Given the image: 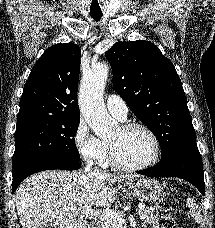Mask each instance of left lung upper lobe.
I'll use <instances>...</instances> for the list:
<instances>
[{
	"label": "left lung upper lobe",
	"instance_id": "5c2ea615",
	"mask_svg": "<svg viewBox=\"0 0 215 228\" xmlns=\"http://www.w3.org/2000/svg\"><path fill=\"white\" fill-rule=\"evenodd\" d=\"M115 91L157 137L161 159L196 142L180 78L156 45L137 40L118 42L106 52Z\"/></svg>",
	"mask_w": 215,
	"mask_h": 228
}]
</instances>
